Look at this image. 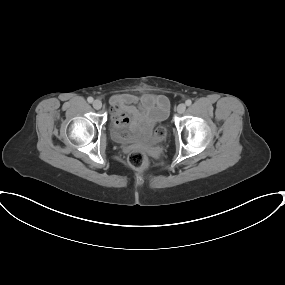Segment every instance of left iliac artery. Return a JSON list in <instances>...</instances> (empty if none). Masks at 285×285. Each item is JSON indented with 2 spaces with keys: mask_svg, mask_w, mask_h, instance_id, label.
<instances>
[{
  "mask_svg": "<svg viewBox=\"0 0 285 285\" xmlns=\"http://www.w3.org/2000/svg\"><path fill=\"white\" fill-rule=\"evenodd\" d=\"M185 104H186L187 106H190V105L192 104V101L188 99V100L185 101Z\"/></svg>",
  "mask_w": 285,
  "mask_h": 285,
  "instance_id": "obj_1",
  "label": "left iliac artery"
}]
</instances>
